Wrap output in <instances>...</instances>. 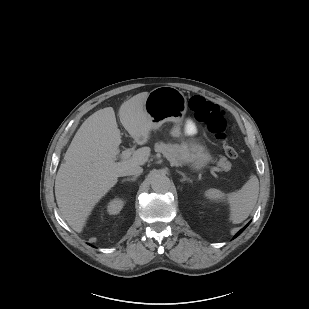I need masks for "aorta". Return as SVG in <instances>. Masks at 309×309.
Listing matches in <instances>:
<instances>
[{
	"instance_id": "762f6f07",
	"label": "aorta",
	"mask_w": 309,
	"mask_h": 309,
	"mask_svg": "<svg viewBox=\"0 0 309 309\" xmlns=\"http://www.w3.org/2000/svg\"><path fill=\"white\" fill-rule=\"evenodd\" d=\"M151 187L155 192L165 193L170 188V180L166 175L156 174L151 180Z\"/></svg>"
}]
</instances>
